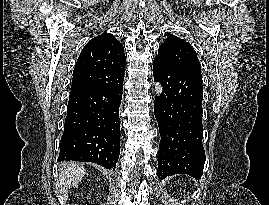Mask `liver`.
Segmentation results:
<instances>
[{"mask_svg": "<svg viewBox=\"0 0 269 205\" xmlns=\"http://www.w3.org/2000/svg\"><path fill=\"white\" fill-rule=\"evenodd\" d=\"M85 173L83 166L70 162L65 165L64 170L59 175L60 185L66 189L77 187L78 182L84 177Z\"/></svg>", "mask_w": 269, "mask_h": 205, "instance_id": "6515ba94", "label": "liver"}]
</instances>
